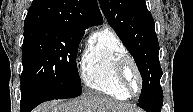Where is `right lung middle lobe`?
Returning <instances> with one entry per match:
<instances>
[{
  "label": "right lung middle lobe",
  "instance_id": "right-lung-middle-lobe-1",
  "mask_svg": "<svg viewBox=\"0 0 193 112\" xmlns=\"http://www.w3.org/2000/svg\"><path fill=\"white\" fill-rule=\"evenodd\" d=\"M82 30L35 28L24 31L21 94L44 101L77 97L82 93L76 65Z\"/></svg>",
  "mask_w": 193,
  "mask_h": 112
}]
</instances>
